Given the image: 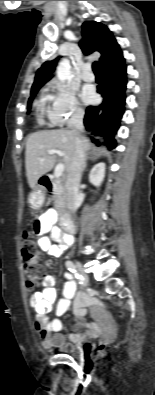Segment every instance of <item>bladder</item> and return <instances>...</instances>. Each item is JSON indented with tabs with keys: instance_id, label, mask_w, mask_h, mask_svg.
Listing matches in <instances>:
<instances>
[{
	"instance_id": "bladder-1",
	"label": "bladder",
	"mask_w": 155,
	"mask_h": 395,
	"mask_svg": "<svg viewBox=\"0 0 155 395\" xmlns=\"http://www.w3.org/2000/svg\"><path fill=\"white\" fill-rule=\"evenodd\" d=\"M89 346V344H86ZM62 351L66 354L76 356L79 353V348L76 345L67 344L63 347Z\"/></svg>"
}]
</instances>
